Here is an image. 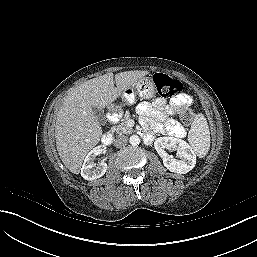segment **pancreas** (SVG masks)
<instances>
[{"label":"pancreas","mask_w":257,"mask_h":257,"mask_svg":"<svg viewBox=\"0 0 257 257\" xmlns=\"http://www.w3.org/2000/svg\"><path fill=\"white\" fill-rule=\"evenodd\" d=\"M127 120L128 117H126L120 125L113 127L112 132H116L119 135L131 134L133 132V129L127 125Z\"/></svg>","instance_id":"1"}]
</instances>
